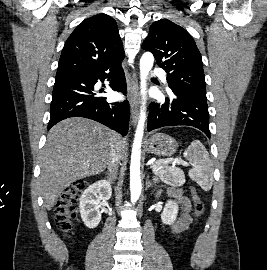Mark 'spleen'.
<instances>
[{"mask_svg": "<svg viewBox=\"0 0 267 270\" xmlns=\"http://www.w3.org/2000/svg\"><path fill=\"white\" fill-rule=\"evenodd\" d=\"M184 157L192 165L189 177L203 190L209 191L213 184V164L204 145L199 140H194L184 152ZM173 185H182L185 182L184 173L172 168Z\"/></svg>", "mask_w": 267, "mask_h": 270, "instance_id": "spleen-1", "label": "spleen"}]
</instances>
